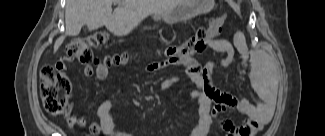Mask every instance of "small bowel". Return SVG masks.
Returning a JSON list of instances; mask_svg holds the SVG:
<instances>
[{
  "label": "small bowel",
  "mask_w": 325,
  "mask_h": 136,
  "mask_svg": "<svg viewBox=\"0 0 325 136\" xmlns=\"http://www.w3.org/2000/svg\"><path fill=\"white\" fill-rule=\"evenodd\" d=\"M217 33L208 39V49L222 54L221 58L210 61L204 65L195 61L174 62L168 65H182L185 67L183 75H174L165 78L160 83L162 91H168L173 85L181 81H189L195 88L188 94V99L198 104V124L193 129L191 136H206L214 121L226 132L228 136H251L258 129L271 120L274 107V81L271 75V62L267 55L257 50L251 52L246 46L245 36L241 31H236L233 40L218 38ZM240 56L242 69L239 72V80H248L253 89V99L239 97L234 94L219 90L213 83L212 76L219 70L230 67L236 55ZM163 66H153L150 70L156 71ZM65 63H56L55 78L60 80L65 98H72L76 87L72 86L71 75L65 73ZM84 72L87 76L95 74L99 80L105 81L110 73L102 63L96 64L95 68L85 66ZM122 95L117 89L112 97L106 99L98 108V121L86 123L76 116L72 109L66 113L70 125L85 129L90 135L103 133L107 136H130L120 132L113 120L112 99L114 96ZM136 103V102H135ZM213 104H215L213 106ZM225 112H237L245 118L240 124L224 119L221 115Z\"/></svg>",
  "instance_id": "obj_1"
}]
</instances>
